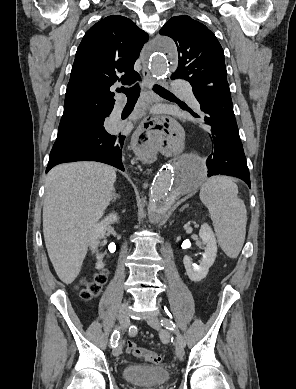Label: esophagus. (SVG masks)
Instances as JSON below:
<instances>
[{
  "mask_svg": "<svg viewBox=\"0 0 296 389\" xmlns=\"http://www.w3.org/2000/svg\"><path fill=\"white\" fill-rule=\"evenodd\" d=\"M141 61L143 78L147 88L150 89L155 84V80L149 72L142 55ZM154 113L150 112L145 122H138L131 140L132 150L136 152L137 157L145 158L149 163H155L159 159V154L155 149V139H167L182 127V122L179 118L158 120L155 118Z\"/></svg>",
  "mask_w": 296,
  "mask_h": 389,
  "instance_id": "1",
  "label": "esophagus"
}]
</instances>
